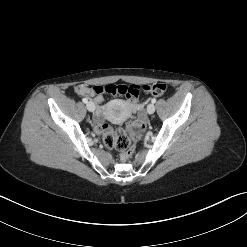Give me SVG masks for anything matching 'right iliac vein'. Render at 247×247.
I'll list each match as a JSON object with an SVG mask.
<instances>
[{"instance_id":"63e3f726","label":"right iliac vein","mask_w":247,"mask_h":247,"mask_svg":"<svg viewBox=\"0 0 247 247\" xmlns=\"http://www.w3.org/2000/svg\"><path fill=\"white\" fill-rule=\"evenodd\" d=\"M86 107L88 111L93 112L95 110V104L93 102H87Z\"/></svg>"}]
</instances>
